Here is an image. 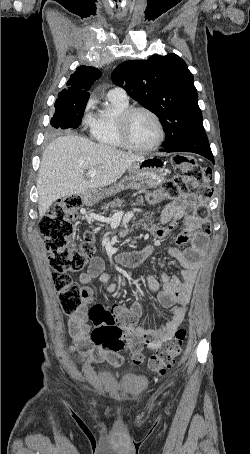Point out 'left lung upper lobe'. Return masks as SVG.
<instances>
[{
  "instance_id": "left-lung-upper-lobe-1",
  "label": "left lung upper lobe",
  "mask_w": 250,
  "mask_h": 454,
  "mask_svg": "<svg viewBox=\"0 0 250 454\" xmlns=\"http://www.w3.org/2000/svg\"><path fill=\"white\" fill-rule=\"evenodd\" d=\"M112 79L160 119L166 134L164 149L204 132L193 75L176 54L123 62Z\"/></svg>"
}]
</instances>
